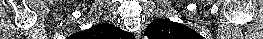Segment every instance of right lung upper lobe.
<instances>
[{
	"label": "right lung upper lobe",
	"instance_id": "right-lung-upper-lobe-1",
	"mask_svg": "<svg viewBox=\"0 0 263 39\" xmlns=\"http://www.w3.org/2000/svg\"><path fill=\"white\" fill-rule=\"evenodd\" d=\"M85 39H124L129 34L111 24H99L80 32Z\"/></svg>",
	"mask_w": 263,
	"mask_h": 39
}]
</instances>
